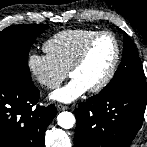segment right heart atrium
Returning <instances> with one entry per match:
<instances>
[{
	"label": "right heart atrium",
	"instance_id": "obj_1",
	"mask_svg": "<svg viewBox=\"0 0 147 147\" xmlns=\"http://www.w3.org/2000/svg\"><path fill=\"white\" fill-rule=\"evenodd\" d=\"M26 64L31 77L46 89L56 88L67 76V70L61 68L48 54L31 51Z\"/></svg>",
	"mask_w": 147,
	"mask_h": 147
}]
</instances>
